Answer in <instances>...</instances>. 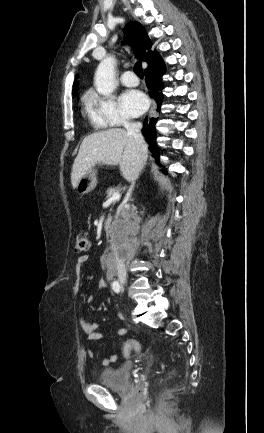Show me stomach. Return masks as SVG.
<instances>
[{
    "mask_svg": "<svg viewBox=\"0 0 264 433\" xmlns=\"http://www.w3.org/2000/svg\"><path fill=\"white\" fill-rule=\"evenodd\" d=\"M97 184L96 170L91 168L85 175H83L76 186L79 194L83 195L92 191Z\"/></svg>",
    "mask_w": 264,
    "mask_h": 433,
    "instance_id": "0dacf381",
    "label": "stomach"
}]
</instances>
